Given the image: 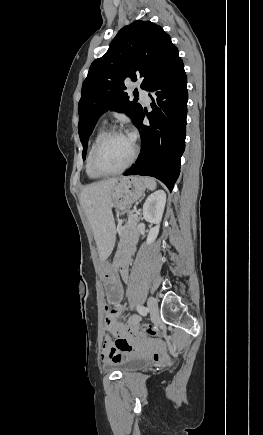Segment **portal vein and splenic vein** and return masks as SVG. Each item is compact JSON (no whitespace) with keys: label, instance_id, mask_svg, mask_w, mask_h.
I'll return each mask as SVG.
<instances>
[{"label":"portal vein and splenic vein","instance_id":"1","mask_svg":"<svg viewBox=\"0 0 263 435\" xmlns=\"http://www.w3.org/2000/svg\"><path fill=\"white\" fill-rule=\"evenodd\" d=\"M134 217H137V214H134Z\"/></svg>","mask_w":263,"mask_h":435}]
</instances>
